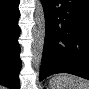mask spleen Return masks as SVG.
I'll return each mask as SVG.
<instances>
[{
	"label": "spleen",
	"mask_w": 89,
	"mask_h": 89,
	"mask_svg": "<svg viewBox=\"0 0 89 89\" xmlns=\"http://www.w3.org/2000/svg\"><path fill=\"white\" fill-rule=\"evenodd\" d=\"M49 85L51 89H89V81L66 73L55 75Z\"/></svg>",
	"instance_id": "3e777b00"
}]
</instances>
